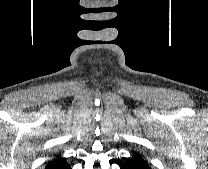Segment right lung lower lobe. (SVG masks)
I'll list each match as a JSON object with an SVG mask.
<instances>
[{
  "mask_svg": "<svg viewBox=\"0 0 208 169\" xmlns=\"http://www.w3.org/2000/svg\"><path fill=\"white\" fill-rule=\"evenodd\" d=\"M46 169H71L66 159L62 158L46 166Z\"/></svg>",
  "mask_w": 208,
  "mask_h": 169,
  "instance_id": "right-lung-lower-lobe-1",
  "label": "right lung lower lobe"
}]
</instances>
